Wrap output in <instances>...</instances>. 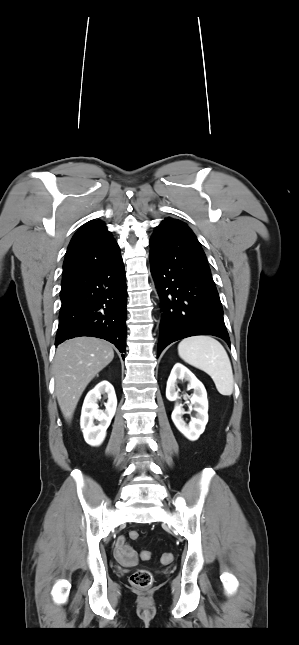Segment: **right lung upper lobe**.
Instances as JSON below:
<instances>
[{"label":"right lung upper lobe","mask_w":299,"mask_h":645,"mask_svg":"<svg viewBox=\"0 0 299 645\" xmlns=\"http://www.w3.org/2000/svg\"><path fill=\"white\" fill-rule=\"evenodd\" d=\"M120 249L105 224L92 220L73 236L63 263L62 286L81 273L104 265L120 256Z\"/></svg>","instance_id":"cb5924a9"}]
</instances>
